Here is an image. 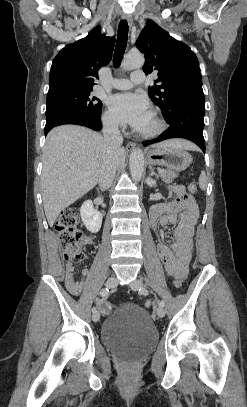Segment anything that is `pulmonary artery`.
<instances>
[{
    "mask_svg": "<svg viewBox=\"0 0 247 407\" xmlns=\"http://www.w3.org/2000/svg\"><path fill=\"white\" fill-rule=\"evenodd\" d=\"M145 81V75L142 70H137L133 72L129 79L121 78V79H114L111 81L110 85L114 89H129L133 85L141 84Z\"/></svg>",
    "mask_w": 247,
    "mask_h": 407,
    "instance_id": "obj_1",
    "label": "pulmonary artery"
}]
</instances>
